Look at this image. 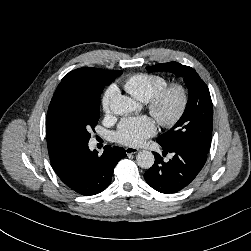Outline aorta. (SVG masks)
Masks as SVG:
<instances>
[{
    "label": "aorta",
    "mask_w": 251,
    "mask_h": 251,
    "mask_svg": "<svg viewBox=\"0 0 251 251\" xmlns=\"http://www.w3.org/2000/svg\"><path fill=\"white\" fill-rule=\"evenodd\" d=\"M110 108L114 114L127 115L137 109V103L128 96L119 95L110 102ZM137 164L143 169L153 166L155 158L151 151L142 150L136 156Z\"/></svg>",
    "instance_id": "762f6f07"
}]
</instances>
